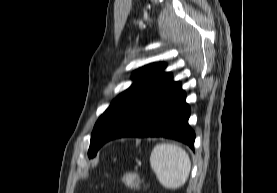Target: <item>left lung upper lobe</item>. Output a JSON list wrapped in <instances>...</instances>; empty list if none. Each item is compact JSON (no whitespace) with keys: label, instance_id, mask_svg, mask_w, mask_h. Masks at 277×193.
<instances>
[{"label":"left lung upper lobe","instance_id":"1","mask_svg":"<svg viewBox=\"0 0 277 193\" xmlns=\"http://www.w3.org/2000/svg\"><path fill=\"white\" fill-rule=\"evenodd\" d=\"M165 67V63H152L139 68L133 73V84L112 101L96 122L91 134L88 150L89 158L96 156L97 151L101 147L103 135L131 104L172 77L171 73L164 72Z\"/></svg>","mask_w":277,"mask_h":193}]
</instances>
